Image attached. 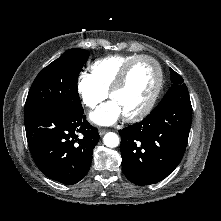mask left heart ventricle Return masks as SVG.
<instances>
[{"instance_id": "obj_1", "label": "left heart ventricle", "mask_w": 221, "mask_h": 221, "mask_svg": "<svg viewBox=\"0 0 221 221\" xmlns=\"http://www.w3.org/2000/svg\"><path fill=\"white\" fill-rule=\"evenodd\" d=\"M157 82L155 66L147 60L137 62L131 69L124 86L111 96L123 116L139 112L151 97Z\"/></svg>"}]
</instances>
